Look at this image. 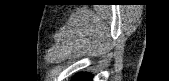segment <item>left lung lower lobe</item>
Returning a JSON list of instances; mask_svg holds the SVG:
<instances>
[{"label": "left lung lower lobe", "mask_w": 169, "mask_h": 81, "mask_svg": "<svg viewBox=\"0 0 169 81\" xmlns=\"http://www.w3.org/2000/svg\"><path fill=\"white\" fill-rule=\"evenodd\" d=\"M92 76L89 74H79L77 75L73 81H91Z\"/></svg>", "instance_id": "obj_1"}]
</instances>
